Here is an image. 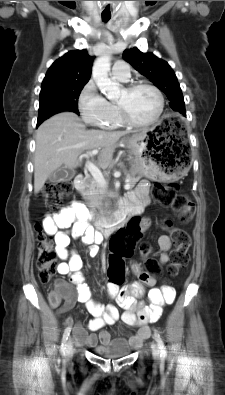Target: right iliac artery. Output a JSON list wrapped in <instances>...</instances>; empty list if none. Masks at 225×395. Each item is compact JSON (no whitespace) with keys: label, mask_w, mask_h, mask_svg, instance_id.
Here are the masks:
<instances>
[{"label":"right iliac artery","mask_w":225,"mask_h":395,"mask_svg":"<svg viewBox=\"0 0 225 395\" xmlns=\"http://www.w3.org/2000/svg\"><path fill=\"white\" fill-rule=\"evenodd\" d=\"M70 331H71V328L70 327H67L66 329H65V331H64V334H63V338H62V343H61V346H60V350H61V352L65 355V349H66V342H67V340H68V337H69V335H70Z\"/></svg>","instance_id":"obj_1"}]
</instances>
